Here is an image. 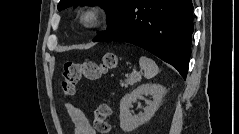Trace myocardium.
<instances>
[{"label":"myocardium","instance_id":"obj_1","mask_svg":"<svg viewBox=\"0 0 239 134\" xmlns=\"http://www.w3.org/2000/svg\"><path fill=\"white\" fill-rule=\"evenodd\" d=\"M104 21V14L98 7H89L80 12L78 22L86 30L98 28Z\"/></svg>","mask_w":239,"mask_h":134}]
</instances>
